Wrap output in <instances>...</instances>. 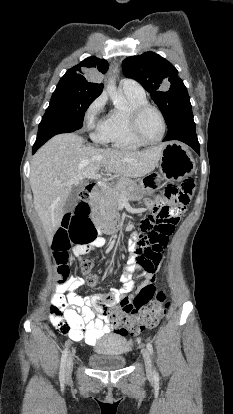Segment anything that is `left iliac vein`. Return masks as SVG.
I'll return each instance as SVG.
<instances>
[{
    "instance_id": "4c4485c4",
    "label": "left iliac vein",
    "mask_w": 233,
    "mask_h": 414,
    "mask_svg": "<svg viewBox=\"0 0 233 414\" xmlns=\"http://www.w3.org/2000/svg\"><path fill=\"white\" fill-rule=\"evenodd\" d=\"M143 359L145 362L146 372L148 375L152 374V364L149 351L145 348L142 350Z\"/></svg>"
}]
</instances>
